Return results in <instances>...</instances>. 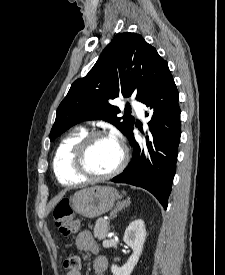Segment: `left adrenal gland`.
Wrapping results in <instances>:
<instances>
[{
    "label": "left adrenal gland",
    "mask_w": 225,
    "mask_h": 275,
    "mask_svg": "<svg viewBox=\"0 0 225 275\" xmlns=\"http://www.w3.org/2000/svg\"><path fill=\"white\" fill-rule=\"evenodd\" d=\"M130 205V200L128 199V200H124V201H122V202H118L117 204H116V207L114 208V210L111 212V214H110V219H109V221L111 220V219H113V218H115L116 217V215H117V213L119 212V211H121L122 209H124L125 207H127V206H129Z\"/></svg>",
    "instance_id": "a2214340"
}]
</instances>
